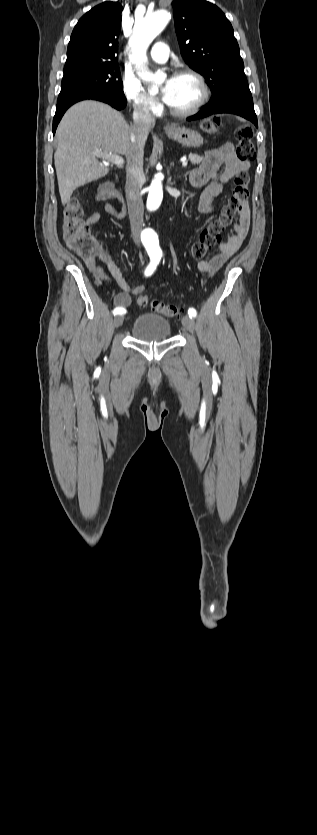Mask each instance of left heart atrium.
Instances as JSON below:
<instances>
[{
    "instance_id": "1",
    "label": "left heart atrium",
    "mask_w": 317,
    "mask_h": 835,
    "mask_svg": "<svg viewBox=\"0 0 317 835\" xmlns=\"http://www.w3.org/2000/svg\"><path fill=\"white\" fill-rule=\"evenodd\" d=\"M172 85H173V78H170L166 81V84L163 87V100L166 103L169 102L171 91H172Z\"/></svg>"
}]
</instances>
